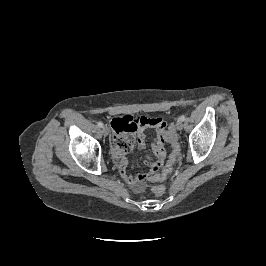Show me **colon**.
I'll use <instances>...</instances> for the list:
<instances>
[{"label":"colon","mask_w":266,"mask_h":266,"mask_svg":"<svg viewBox=\"0 0 266 266\" xmlns=\"http://www.w3.org/2000/svg\"><path fill=\"white\" fill-rule=\"evenodd\" d=\"M168 142L171 144L172 151L169 155V158L167 160L165 167L163 168L161 173L150 174L148 176V179L153 180V181H161V180H164L168 176V174L172 171L173 166L180 152V147L177 142L176 134L174 133L173 130L168 131ZM152 191L156 196H162L165 193L166 188L164 185H156L152 188Z\"/></svg>","instance_id":"5ec220e1"}]
</instances>
